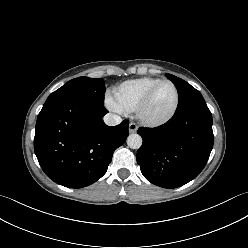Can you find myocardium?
<instances>
[{
	"instance_id": "1",
	"label": "myocardium",
	"mask_w": 248,
	"mask_h": 248,
	"mask_svg": "<svg viewBox=\"0 0 248 248\" xmlns=\"http://www.w3.org/2000/svg\"><path fill=\"white\" fill-rule=\"evenodd\" d=\"M163 84H169L174 89L175 102H174L173 108L170 111V113L167 116H165L164 118H161L158 120L149 119L144 114L145 108H146L147 104L149 103L154 92ZM179 103H180V93H179L178 87L175 85V83H173L171 80H167V79L166 80H160L159 82L154 84L143 95V97L141 98V100L139 101V103L135 109L136 116H137L138 120L145 126L152 127V128L160 127V126L167 124L168 122H170L173 119V117L177 113Z\"/></svg>"
}]
</instances>
